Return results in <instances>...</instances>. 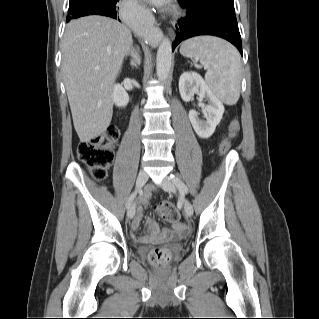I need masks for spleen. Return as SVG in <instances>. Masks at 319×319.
Returning <instances> with one entry per match:
<instances>
[{
	"instance_id": "3e777b00",
	"label": "spleen",
	"mask_w": 319,
	"mask_h": 319,
	"mask_svg": "<svg viewBox=\"0 0 319 319\" xmlns=\"http://www.w3.org/2000/svg\"><path fill=\"white\" fill-rule=\"evenodd\" d=\"M180 53L200 61L207 70L205 81L223 103L234 105L240 96L241 60L238 51L228 42L211 36L186 40Z\"/></svg>"
}]
</instances>
